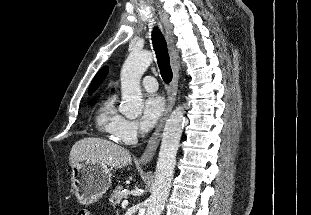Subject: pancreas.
I'll return each mask as SVG.
<instances>
[{"label": "pancreas", "mask_w": 311, "mask_h": 215, "mask_svg": "<svg viewBox=\"0 0 311 215\" xmlns=\"http://www.w3.org/2000/svg\"><path fill=\"white\" fill-rule=\"evenodd\" d=\"M127 197V193L122 190V187L117 186L109 198V202L113 207L117 206L123 198Z\"/></svg>", "instance_id": "obj_1"}]
</instances>
